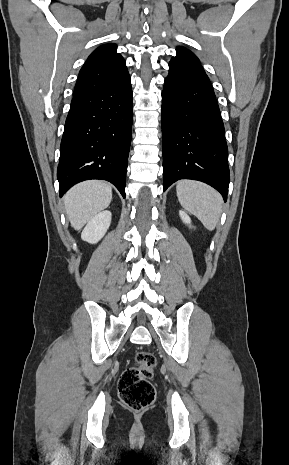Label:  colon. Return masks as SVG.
Segmentation results:
<instances>
[{"label":"colon","mask_w":289,"mask_h":465,"mask_svg":"<svg viewBox=\"0 0 289 465\" xmlns=\"http://www.w3.org/2000/svg\"><path fill=\"white\" fill-rule=\"evenodd\" d=\"M136 365L124 370L119 380V397L130 409L139 411L155 400L156 392L151 378L156 367V359L148 351L137 353Z\"/></svg>","instance_id":"5ec220e1"}]
</instances>
